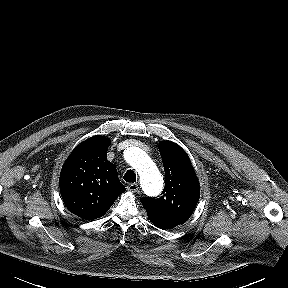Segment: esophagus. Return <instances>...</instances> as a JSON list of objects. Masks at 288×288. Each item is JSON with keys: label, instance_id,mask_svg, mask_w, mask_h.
Wrapping results in <instances>:
<instances>
[{"label": "esophagus", "instance_id": "obj_1", "mask_svg": "<svg viewBox=\"0 0 288 288\" xmlns=\"http://www.w3.org/2000/svg\"><path fill=\"white\" fill-rule=\"evenodd\" d=\"M138 189H139V186L136 183H131L127 186V190L130 192H137Z\"/></svg>", "mask_w": 288, "mask_h": 288}]
</instances>
